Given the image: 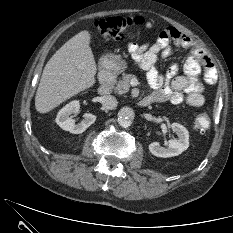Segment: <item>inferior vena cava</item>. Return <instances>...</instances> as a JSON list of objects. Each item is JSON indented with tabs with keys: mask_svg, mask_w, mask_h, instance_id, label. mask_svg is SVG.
Returning a JSON list of instances; mask_svg holds the SVG:
<instances>
[{
	"mask_svg": "<svg viewBox=\"0 0 233 233\" xmlns=\"http://www.w3.org/2000/svg\"><path fill=\"white\" fill-rule=\"evenodd\" d=\"M102 105L105 109L112 110L115 109L118 102L117 99L114 96L111 95H105L102 97Z\"/></svg>",
	"mask_w": 233,
	"mask_h": 233,
	"instance_id": "obj_1",
	"label": "inferior vena cava"
}]
</instances>
